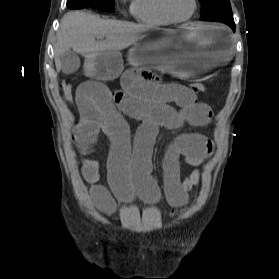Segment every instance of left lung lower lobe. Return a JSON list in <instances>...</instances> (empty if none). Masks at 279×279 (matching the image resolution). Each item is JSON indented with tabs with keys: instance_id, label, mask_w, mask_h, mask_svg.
<instances>
[{
	"instance_id": "left-lung-lower-lobe-1",
	"label": "left lung lower lobe",
	"mask_w": 279,
	"mask_h": 279,
	"mask_svg": "<svg viewBox=\"0 0 279 279\" xmlns=\"http://www.w3.org/2000/svg\"><path fill=\"white\" fill-rule=\"evenodd\" d=\"M221 22H223V23L227 24L228 26H230L231 29L235 32V23H234L233 19L223 20Z\"/></svg>"
}]
</instances>
